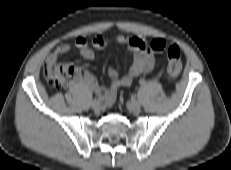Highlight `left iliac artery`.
Here are the masks:
<instances>
[{
  "label": "left iliac artery",
  "mask_w": 231,
  "mask_h": 170,
  "mask_svg": "<svg viewBox=\"0 0 231 170\" xmlns=\"http://www.w3.org/2000/svg\"><path fill=\"white\" fill-rule=\"evenodd\" d=\"M140 84H141V85H144V84H145V81H144V80H141V81H140Z\"/></svg>",
  "instance_id": "obj_1"
}]
</instances>
